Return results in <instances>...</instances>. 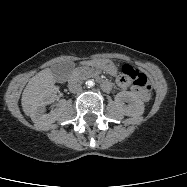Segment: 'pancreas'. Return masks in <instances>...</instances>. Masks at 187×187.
<instances>
[{"label":"pancreas","mask_w":187,"mask_h":187,"mask_svg":"<svg viewBox=\"0 0 187 187\" xmlns=\"http://www.w3.org/2000/svg\"><path fill=\"white\" fill-rule=\"evenodd\" d=\"M75 76L77 79L79 80H86L89 79L91 77H94V71L88 67V66H83V67H79L75 70Z\"/></svg>","instance_id":"obj_1"}]
</instances>
